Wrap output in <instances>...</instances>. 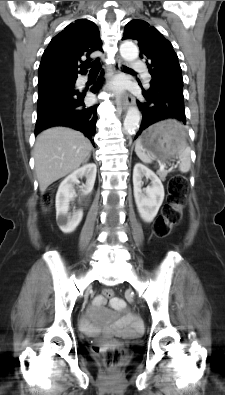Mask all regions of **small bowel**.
<instances>
[{"mask_svg":"<svg viewBox=\"0 0 225 395\" xmlns=\"http://www.w3.org/2000/svg\"><path fill=\"white\" fill-rule=\"evenodd\" d=\"M107 296H97L93 303L92 312L94 315H102L106 320L112 318V314L108 311H103L102 307L105 304ZM110 311H120V316L113 319L112 323L105 327V330L110 334L126 336L141 329V323L136 316L129 312H124L127 305L126 300H122L121 296H110L109 298ZM83 330L88 334H94L97 332L98 327L92 324L88 319H84L82 322Z\"/></svg>","mask_w":225,"mask_h":395,"instance_id":"obj_1","label":"small bowel"}]
</instances>
